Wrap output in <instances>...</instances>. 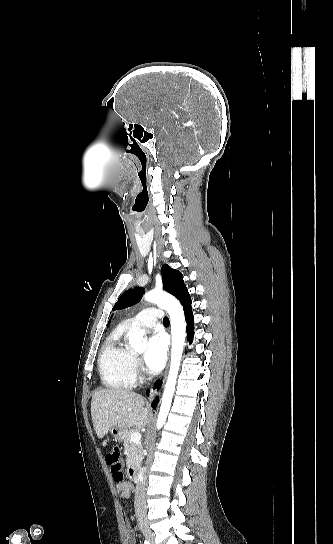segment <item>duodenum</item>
Listing matches in <instances>:
<instances>
[{
	"label": "duodenum",
	"mask_w": 333,
	"mask_h": 544,
	"mask_svg": "<svg viewBox=\"0 0 333 544\" xmlns=\"http://www.w3.org/2000/svg\"><path fill=\"white\" fill-rule=\"evenodd\" d=\"M128 476L132 481H138L139 480V470L135 466H131L128 469Z\"/></svg>",
	"instance_id": "410a0bca"
}]
</instances>
